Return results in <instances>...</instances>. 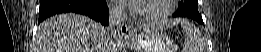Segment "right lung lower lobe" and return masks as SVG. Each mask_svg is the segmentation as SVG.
<instances>
[{
	"instance_id": "1",
	"label": "right lung lower lobe",
	"mask_w": 261,
	"mask_h": 52,
	"mask_svg": "<svg viewBox=\"0 0 261 52\" xmlns=\"http://www.w3.org/2000/svg\"><path fill=\"white\" fill-rule=\"evenodd\" d=\"M66 12L83 14L103 25L108 24L105 0H41L38 23L52 15Z\"/></svg>"
}]
</instances>
